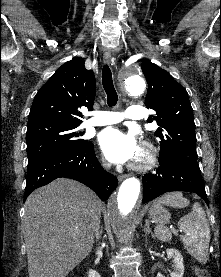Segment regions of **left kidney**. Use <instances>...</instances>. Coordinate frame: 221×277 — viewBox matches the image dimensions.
I'll return each mask as SVG.
<instances>
[{
	"label": "left kidney",
	"mask_w": 221,
	"mask_h": 277,
	"mask_svg": "<svg viewBox=\"0 0 221 277\" xmlns=\"http://www.w3.org/2000/svg\"><path fill=\"white\" fill-rule=\"evenodd\" d=\"M166 252L168 259H172L173 261V272L171 273V277H183L184 264L181 253L178 250L172 248L167 249ZM157 277L164 276L161 273H158Z\"/></svg>",
	"instance_id": "left-kidney-1"
}]
</instances>
